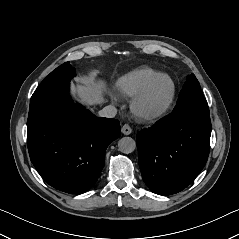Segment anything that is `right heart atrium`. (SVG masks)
<instances>
[{"mask_svg":"<svg viewBox=\"0 0 239 239\" xmlns=\"http://www.w3.org/2000/svg\"><path fill=\"white\" fill-rule=\"evenodd\" d=\"M112 100H113V101H116L117 98L113 95V96H112Z\"/></svg>","mask_w":239,"mask_h":239,"instance_id":"obj_1","label":"right heart atrium"}]
</instances>
